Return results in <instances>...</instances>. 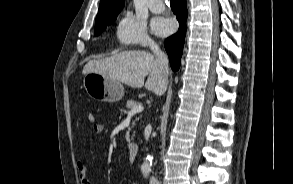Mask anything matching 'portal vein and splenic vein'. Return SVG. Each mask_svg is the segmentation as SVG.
<instances>
[{"label":"portal vein and splenic vein","mask_w":293,"mask_h":184,"mask_svg":"<svg viewBox=\"0 0 293 184\" xmlns=\"http://www.w3.org/2000/svg\"><path fill=\"white\" fill-rule=\"evenodd\" d=\"M143 106L142 105H137L134 108L131 109L130 114H135L143 111Z\"/></svg>","instance_id":"18ae733b"}]
</instances>
